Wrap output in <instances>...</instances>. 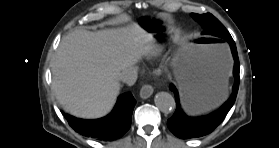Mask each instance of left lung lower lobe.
Instances as JSON below:
<instances>
[{
  "mask_svg": "<svg viewBox=\"0 0 279 148\" xmlns=\"http://www.w3.org/2000/svg\"><path fill=\"white\" fill-rule=\"evenodd\" d=\"M224 39L230 44L234 58L233 74L235 77V83L230 98L219 110L206 116L189 117L180 107L178 92L175 86L173 84L170 86V89L174 92L176 98L177 109L173 116L167 121V126L175 136L181 139L197 138L211 133L224 120L235 102L239 88L240 64L236 45L232 37L230 36Z\"/></svg>",
  "mask_w": 279,
  "mask_h": 148,
  "instance_id": "obj_1",
  "label": "left lung lower lobe"
}]
</instances>
